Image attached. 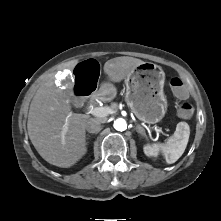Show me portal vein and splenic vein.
Masks as SVG:
<instances>
[{
    "label": "portal vein and splenic vein",
    "instance_id": "portal-vein-and-splenic-vein-1",
    "mask_svg": "<svg viewBox=\"0 0 221 221\" xmlns=\"http://www.w3.org/2000/svg\"><path fill=\"white\" fill-rule=\"evenodd\" d=\"M89 113L92 114L95 117H106L109 114H111L112 109L110 107H93L89 106ZM68 120H66L64 126H63V132L65 133L68 130ZM156 131L163 133L162 129L155 127Z\"/></svg>",
    "mask_w": 221,
    "mask_h": 221
}]
</instances>
